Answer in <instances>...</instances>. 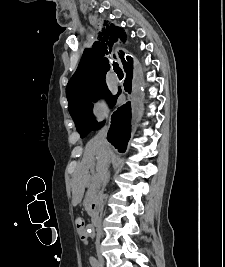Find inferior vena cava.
I'll use <instances>...</instances> for the list:
<instances>
[{
    "label": "inferior vena cava",
    "mask_w": 225,
    "mask_h": 267,
    "mask_svg": "<svg viewBox=\"0 0 225 267\" xmlns=\"http://www.w3.org/2000/svg\"><path fill=\"white\" fill-rule=\"evenodd\" d=\"M107 127L103 128L99 131L97 136L95 137V140L102 145V147L106 150V164L102 171L99 173V175L96 177V188H97V202H98V209L99 212L103 211V191L104 188L109 180V172H108V163L110 159V149L109 144L107 142ZM98 243V238H97Z\"/></svg>",
    "instance_id": "602c4592"
}]
</instances>
